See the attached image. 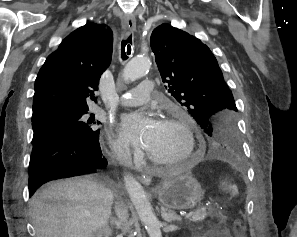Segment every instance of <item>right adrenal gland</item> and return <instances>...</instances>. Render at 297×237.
<instances>
[{
  "label": "right adrenal gland",
  "instance_id": "2a0ac1e0",
  "mask_svg": "<svg viewBox=\"0 0 297 237\" xmlns=\"http://www.w3.org/2000/svg\"><path fill=\"white\" fill-rule=\"evenodd\" d=\"M111 224L112 225H115L117 229H121V223L119 220H117L116 218L114 217H111Z\"/></svg>",
  "mask_w": 297,
  "mask_h": 237
}]
</instances>
